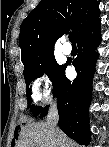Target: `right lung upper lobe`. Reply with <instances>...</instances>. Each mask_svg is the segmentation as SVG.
Wrapping results in <instances>:
<instances>
[{"instance_id": "1", "label": "right lung upper lobe", "mask_w": 109, "mask_h": 147, "mask_svg": "<svg viewBox=\"0 0 109 147\" xmlns=\"http://www.w3.org/2000/svg\"><path fill=\"white\" fill-rule=\"evenodd\" d=\"M97 0H41L22 22L19 35L24 68L53 52L56 38L69 31L77 38L99 16Z\"/></svg>"}]
</instances>
